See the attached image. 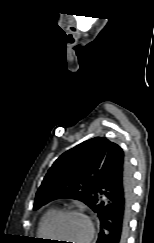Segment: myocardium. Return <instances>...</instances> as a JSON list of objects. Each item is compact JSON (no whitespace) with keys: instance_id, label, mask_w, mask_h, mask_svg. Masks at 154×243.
Returning a JSON list of instances; mask_svg holds the SVG:
<instances>
[{"instance_id":"f54148a6","label":"myocardium","mask_w":154,"mask_h":243,"mask_svg":"<svg viewBox=\"0 0 154 243\" xmlns=\"http://www.w3.org/2000/svg\"><path fill=\"white\" fill-rule=\"evenodd\" d=\"M72 215L80 216V217H82L83 219L86 220L87 226H88V230H87V234H86V237H85L83 243H90L91 240L94 237V232H95L93 221L85 212H83L81 210H78V209H64V210L58 211L51 218V220L48 223V226H47V235H48V237L49 238L54 237L53 236V229H54L56 223L61 218L66 217V216H72Z\"/></svg>"}]
</instances>
